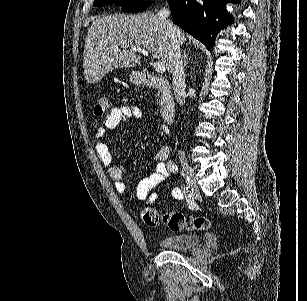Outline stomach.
Instances as JSON below:
<instances>
[{
	"mask_svg": "<svg viewBox=\"0 0 307 301\" xmlns=\"http://www.w3.org/2000/svg\"><path fill=\"white\" fill-rule=\"evenodd\" d=\"M129 80L133 82V84H143V76L139 70H132Z\"/></svg>",
	"mask_w": 307,
	"mask_h": 301,
	"instance_id": "obj_1",
	"label": "stomach"
}]
</instances>
